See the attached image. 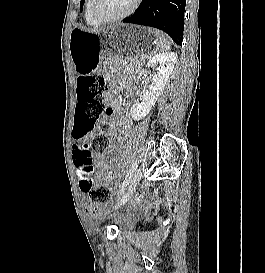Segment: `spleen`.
Listing matches in <instances>:
<instances>
[{
	"label": "spleen",
	"mask_w": 265,
	"mask_h": 273,
	"mask_svg": "<svg viewBox=\"0 0 265 273\" xmlns=\"http://www.w3.org/2000/svg\"><path fill=\"white\" fill-rule=\"evenodd\" d=\"M154 36L157 51L161 52L169 50L170 43L167 41L163 33L157 31Z\"/></svg>",
	"instance_id": "3e777b00"
}]
</instances>
